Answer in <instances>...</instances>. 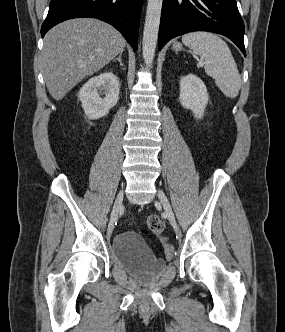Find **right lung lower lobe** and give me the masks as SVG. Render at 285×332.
Wrapping results in <instances>:
<instances>
[{
	"label": "right lung lower lobe",
	"mask_w": 285,
	"mask_h": 332,
	"mask_svg": "<svg viewBox=\"0 0 285 332\" xmlns=\"http://www.w3.org/2000/svg\"><path fill=\"white\" fill-rule=\"evenodd\" d=\"M141 6L142 0H51L41 36L68 19L97 18L113 25L136 51Z\"/></svg>",
	"instance_id": "1"
}]
</instances>
